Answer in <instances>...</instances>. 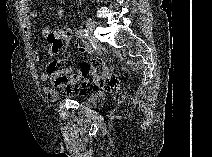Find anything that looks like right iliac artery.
<instances>
[{
	"label": "right iliac artery",
	"instance_id": "1",
	"mask_svg": "<svg viewBox=\"0 0 212 157\" xmlns=\"http://www.w3.org/2000/svg\"><path fill=\"white\" fill-rule=\"evenodd\" d=\"M75 34L78 38H86L88 36L87 30L85 29H79Z\"/></svg>",
	"mask_w": 212,
	"mask_h": 157
}]
</instances>
